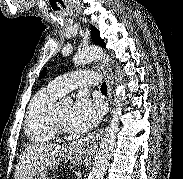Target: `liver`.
Instances as JSON below:
<instances>
[{
  "mask_svg": "<svg viewBox=\"0 0 183 179\" xmlns=\"http://www.w3.org/2000/svg\"><path fill=\"white\" fill-rule=\"evenodd\" d=\"M63 151L62 145L52 143L28 146L19 157L14 179H32L51 165Z\"/></svg>",
  "mask_w": 183,
  "mask_h": 179,
  "instance_id": "obj_1",
  "label": "liver"
}]
</instances>
